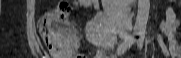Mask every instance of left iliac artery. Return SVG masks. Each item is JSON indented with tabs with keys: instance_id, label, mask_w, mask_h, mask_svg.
Listing matches in <instances>:
<instances>
[{
	"instance_id": "left-iliac-artery-1",
	"label": "left iliac artery",
	"mask_w": 181,
	"mask_h": 58,
	"mask_svg": "<svg viewBox=\"0 0 181 58\" xmlns=\"http://www.w3.org/2000/svg\"><path fill=\"white\" fill-rule=\"evenodd\" d=\"M144 33L140 34L139 39L137 40V45L140 49L143 47V42H144Z\"/></svg>"
}]
</instances>
